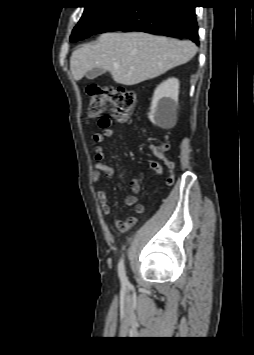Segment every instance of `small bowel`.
<instances>
[{"label": "small bowel", "mask_w": 254, "mask_h": 355, "mask_svg": "<svg viewBox=\"0 0 254 355\" xmlns=\"http://www.w3.org/2000/svg\"><path fill=\"white\" fill-rule=\"evenodd\" d=\"M110 125V120L105 118L101 127L104 128L102 132H96L93 134L92 139L94 143L96 144L94 148V158H95V168L96 170L92 174V182L93 183H99L102 179V176L104 175L108 179H112L114 177L115 171L112 167L108 166L105 164L104 158H105V153L104 149L102 147V144L104 143L105 140L107 139H112L114 137V132L112 129L108 128ZM154 155L162 160L165 161L167 167L171 172L174 173L175 169V164L168 160L163 154L159 152H155ZM149 165L152 170H154L157 174H163L164 168L163 166L155 160H150ZM129 188L132 192V194L128 195L125 198V204L128 206H133L137 203V193L140 191V182L138 179H132L129 183ZM97 199L100 204L101 211L107 215L110 216L113 219L114 222V230L116 232L120 233H125L129 231L136 223H137V217L136 216H130L126 220H119L114 217V212L112 207L108 204V194L106 190H100L97 193ZM136 213L141 214L143 212V207L142 206H137L136 207Z\"/></svg>", "instance_id": "small-bowel-1"}]
</instances>
